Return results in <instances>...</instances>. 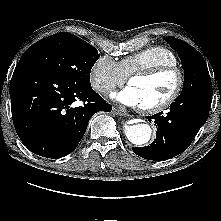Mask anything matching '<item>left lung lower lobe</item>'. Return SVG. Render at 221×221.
I'll use <instances>...</instances> for the list:
<instances>
[{
	"label": "left lung lower lobe",
	"instance_id": "0a47b994",
	"mask_svg": "<svg viewBox=\"0 0 221 221\" xmlns=\"http://www.w3.org/2000/svg\"><path fill=\"white\" fill-rule=\"evenodd\" d=\"M212 101V87L177 99L168 113L148 116L157 128L156 139L146 147H133L138 156L148 160H166L185 151L201 126L207 121Z\"/></svg>",
	"mask_w": 221,
	"mask_h": 221
}]
</instances>
